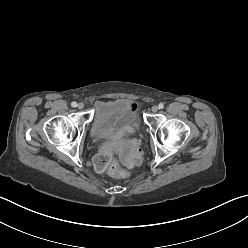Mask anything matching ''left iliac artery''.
I'll use <instances>...</instances> for the list:
<instances>
[{
    "label": "left iliac artery",
    "instance_id": "44dca946",
    "mask_svg": "<svg viewBox=\"0 0 248 248\" xmlns=\"http://www.w3.org/2000/svg\"><path fill=\"white\" fill-rule=\"evenodd\" d=\"M158 107H159V109H163L164 104H163V103H160V104L158 105Z\"/></svg>",
    "mask_w": 248,
    "mask_h": 248
}]
</instances>
